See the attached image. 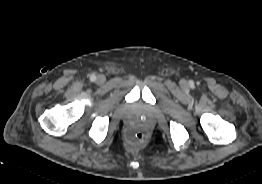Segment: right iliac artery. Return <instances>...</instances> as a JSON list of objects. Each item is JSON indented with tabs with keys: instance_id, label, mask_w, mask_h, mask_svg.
<instances>
[{
	"instance_id": "82829eb1",
	"label": "right iliac artery",
	"mask_w": 262,
	"mask_h": 184,
	"mask_svg": "<svg viewBox=\"0 0 262 184\" xmlns=\"http://www.w3.org/2000/svg\"><path fill=\"white\" fill-rule=\"evenodd\" d=\"M90 80H91L92 82H94V81L96 80V76H95L94 74H92V75L90 76Z\"/></svg>"
}]
</instances>
